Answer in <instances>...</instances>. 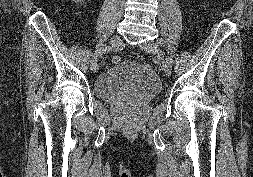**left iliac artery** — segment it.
Listing matches in <instances>:
<instances>
[{
    "label": "left iliac artery",
    "instance_id": "left-iliac-artery-1",
    "mask_svg": "<svg viewBox=\"0 0 253 177\" xmlns=\"http://www.w3.org/2000/svg\"><path fill=\"white\" fill-rule=\"evenodd\" d=\"M157 43H158L159 45L164 44V42H163L162 40H159ZM158 62H161V59H158ZM162 63H166L167 65H170V60H169V59L162 60Z\"/></svg>",
    "mask_w": 253,
    "mask_h": 177
}]
</instances>
